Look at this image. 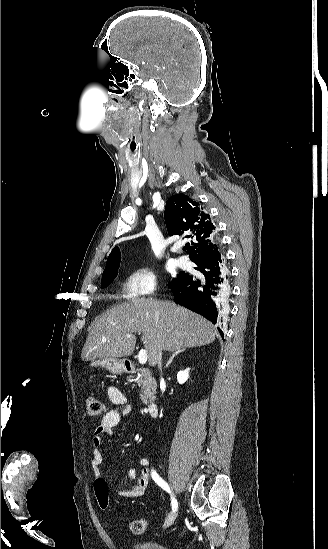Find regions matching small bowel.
I'll return each mask as SVG.
<instances>
[{
  "instance_id": "obj_1",
  "label": "small bowel",
  "mask_w": 328,
  "mask_h": 549,
  "mask_svg": "<svg viewBox=\"0 0 328 549\" xmlns=\"http://www.w3.org/2000/svg\"><path fill=\"white\" fill-rule=\"evenodd\" d=\"M110 401L115 405L107 410L103 415L99 426L94 430L92 437L91 468L93 475L97 478L101 476L100 465L102 463V453L100 447L103 443L104 435H113L114 429L120 424L122 419L132 412V407L127 404L124 393L117 387L110 386L107 389ZM138 463L142 466L139 477L136 479V470L130 467L125 472L126 481L136 480L135 485L128 490L122 491L128 497H141L145 494L152 477L151 463L149 459L140 457Z\"/></svg>"
}]
</instances>
